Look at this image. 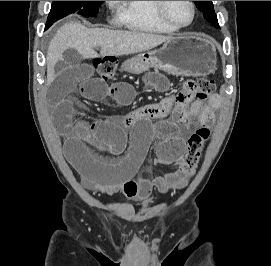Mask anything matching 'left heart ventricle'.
I'll use <instances>...</instances> for the list:
<instances>
[{
    "label": "left heart ventricle",
    "instance_id": "obj_1",
    "mask_svg": "<svg viewBox=\"0 0 271 266\" xmlns=\"http://www.w3.org/2000/svg\"><path fill=\"white\" fill-rule=\"evenodd\" d=\"M165 9L170 19L179 25L187 24L192 16L188 1H166Z\"/></svg>",
    "mask_w": 271,
    "mask_h": 266
}]
</instances>
